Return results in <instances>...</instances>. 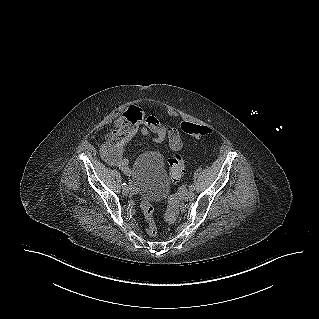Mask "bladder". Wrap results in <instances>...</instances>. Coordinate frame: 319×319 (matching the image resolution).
Masks as SVG:
<instances>
[{
    "mask_svg": "<svg viewBox=\"0 0 319 319\" xmlns=\"http://www.w3.org/2000/svg\"><path fill=\"white\" fill-rule=\"evenodd\" d=\"M131 178L144 198L152 202L163 200L169 191L162 154L147 151L140 154L132 168Z\"/></svg>",
    "mask_w": 319,
    "mask_h": 319,
    "instance_id": "bladder-1",
    "label": "bladder"
}]
</instances>
